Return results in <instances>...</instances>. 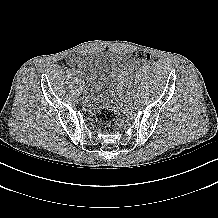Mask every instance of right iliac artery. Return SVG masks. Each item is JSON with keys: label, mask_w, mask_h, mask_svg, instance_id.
<instances>
[{"label": "right iliac artery", "mask_w": 218, "mask_h": 218, "mask_svg": "<svg viewBox=\"0 0 218 218\" xmlns=\"http://www.w3.org/2000/svg\"><path fill=\"white\" fill-rule=\"evenodd\" d=\"M77 74H78L79 81H81V75L79 73H77Z\"/></svg>", "instance_id": "obj_1"}]
</instances>
